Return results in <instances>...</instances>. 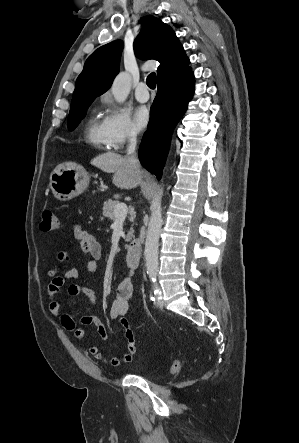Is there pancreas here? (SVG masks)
I'll return each instance as SVG.
<instances>
[{"label": "pancreas", "instance_id": "obj_1", "mask_svg": "<svg viewBox=\"0 0 299 443\" xmlns=\"http://www.w3.org/2000/svg\"><path fill=\"white\" fill-rule=\"evenodd\" d=\"M117 204H119V201H117V200L108 199L107 201H105L104 204H103V209H102L103 210V213H102L103 216L114 221L115 220L114 209H115ZM129 220L133 222L134 221V216L131 215L129 217ZM132 238H134V230L131 227L130 231L128 232V234L126 236L125 241L129 242Z\"/></svg>", "mask_w": 299, "mask_h": 443}]
</instances>
